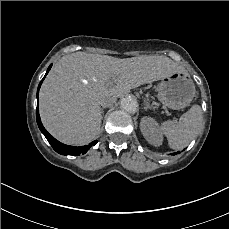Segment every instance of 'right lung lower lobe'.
<instances>
[{
  "mask_svg": "<svg viewBox=\"0 0 229 229\" xmlns=\"http://www.w3.org/2000/svg\"><path fill=\"white\" fill-rule=\"evenodd\" d=\"M51 67H52V64L47 69V72H46L44 78L48 74V72L51 69ZM44 78L41 80V82H40V84L38 86V89H37L36 120H37V124H38V127H39L40 131L44 134L46 139L49 141V143L51 144V146L53 147V149L57 153H59L61 155H74V156H78L80 154H85L91 148V146L95 145L98 142L97 140H95V141L91 142L89 145H85V146H79V147L68 146V145H65V144L59 142L58 140H56L52 135H50L46 131V129L42 125V122H41V119H40V115H39V109H38V100H39V89H40V86H41Z\"/></svg>",
  "mask_w": 229,
  "mask_h": 229,
  "instance_id": "98d812e1",
  "label": "right lung lower lobe"
}]
</instances>
